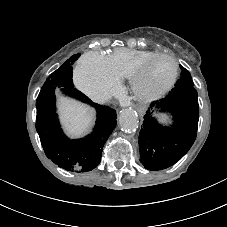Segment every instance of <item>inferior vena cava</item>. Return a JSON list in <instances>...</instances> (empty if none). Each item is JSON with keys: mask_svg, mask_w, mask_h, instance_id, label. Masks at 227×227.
<instances>
[{"mask_svg": "<svg viewBox=\"0 0 227 227\" xmlns=\"http://www.w3.org/2000/svg\"><path fill=\"white\" fill-rule=\"evenodd\" d=\"M92 100L97 103H104L108 100V96L101 95L100 93H95L91 96Z\"/></svg>", "mask_w": 227, "mask_h": 227, "instance_id": "obj_1", "label": "inferior vena cava"}]
</instances>
